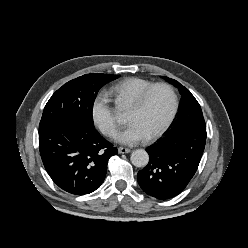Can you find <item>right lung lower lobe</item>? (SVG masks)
I'll list each match as a JSON object with an SVG mask.
<instances>
[{
    "label": "right lung lower lobe",
    "instance_id": "1",
    "mask_svg": "<svg viewBox=\"0 0 248 248\" xmlns=\"http://www.w3.org/2000/svg\"><path fill=\"white\" fill-rule=\"evenodd\" d=\"M44 167L64 191L89 194L100 187L111 156L118 153L94 127L61 123L39 134Z\"/></svg>",
    "mask_w": 248,
    "mask_h": 248
}]
</instances>
